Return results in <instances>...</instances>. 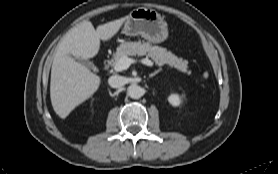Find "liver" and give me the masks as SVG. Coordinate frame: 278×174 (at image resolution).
<instances>
[{
  "label": "liver",
  "mask_w": 278,
  "mask_h": 174,
  "mask_svg": "<svg viewBox=\"0 0 278 174\" xmlns=\"http://www.w3.org/2000/svg\"><path fill=\"white\" fill-rule=\"evenodd\" d=\"M127 17L99 25L95 30L90 21L73 27L56 50L50 81V98L55 113L65 119L71 111L90 98L99 88L101 79L70 55L83 60L96 56L100 41L116 35Z\"/></svg>",
  "instance_id": "6515ba94"
}]
</instances>
